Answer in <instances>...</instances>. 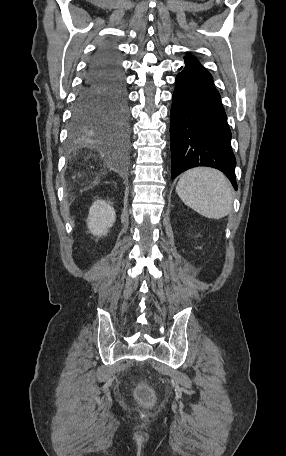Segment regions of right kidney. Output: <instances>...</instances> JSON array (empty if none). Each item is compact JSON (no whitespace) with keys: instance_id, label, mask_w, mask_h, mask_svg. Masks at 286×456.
<instances>
[{"instance_id":"obj_1","label":"right kidney","mask_w":286,"mask_h":456,"mask_svg":"<svg viewBox=\"0 0 286 456\" xmlns=\"http://www.w3.org/2000/svg\"><path fill=\"white\" fill-rule=\"evenodd\" d=\"M116 220L114 208L104 200L95 201L89 210L87 226L95 236H105Z\"/></svg>"}]
</instances>
